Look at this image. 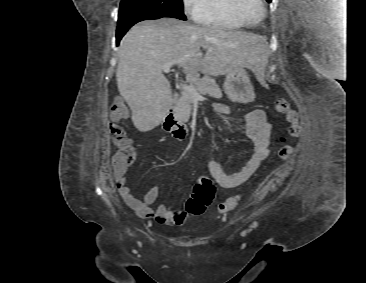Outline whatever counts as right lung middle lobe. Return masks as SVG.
<instances>
[{"label": "right lung middle lobe", "instance_id": "obj_1", "mask_svg": "<svg viewBox=\"0 0 366 283\" xmlns=\"http://www.w3.org/2000/svg\"><path fill=\"white\" fill-rule=\"evenodd\" d=\"M172 17L186 20L182 0H122L118 21L132 17Z\"/></svg>", "mask_w": 366, "mask_h": 283}]
</instances>
